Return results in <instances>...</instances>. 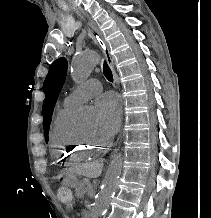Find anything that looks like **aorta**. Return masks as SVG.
Returning <instances> with one entry per match:
<instances>
[{
    "label": "aorta",
    "instance_id": "aorta-1",
    "mask_svg": "<svg viewBox=\"0 0 211 218\" xmlns=\"http://www.w3.org/2000/svg\"><path fill=\"white\" fill-rule=\"evenodd\" d=\"M100 57L94 51L85 52L72 61L71 76L77 83L83 82L91 74L92 70L99 63ZM98 125V117L90 107L80 110L77 118V126L84 131L94 130ZM123 159L121 154H117L110 162L105 174L101 190L91 208V218H101L109 207L114 196L119 178L122 172Z\"/></svg>",
    "mask_w": 211,
    "mask_h": 218
}]
</instances>
